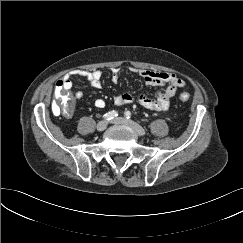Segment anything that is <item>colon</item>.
Listing matches in <instances>:
<instances>
[{"label": "colon", "mask_w": 243, "mask_h": 243, "mask_svg": "<svg viewBox=\"0 0 243 243\" xmlns=\"http://www.w3.org/2000/svg\"><path fill=\"white\" fill-rule=\"evenodd\" d=\"M55 101L52 104L53 112L56 114L70 115L72 114L75 106V97L65 90L61 82H57L55 86ZM190 95L188 93H182L180 95L181 101H188Z\"/></svg>", "instance_id": "obj_1"}]
</instances>
